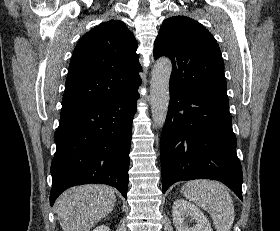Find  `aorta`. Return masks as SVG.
Segmentation results:
<instances>
[{"label": "aorta", "mask_w": 280, "mask_h": 231, "mask_svg": "<svg viewBox=\"0 0 280 231\" xmlns=\"http://www.w3.org/2000/svg\"><path fill=\"white\" fill-rule=\"evenodd\" d=\"M172 64L169 58H159L152 70L150 86L151 114L156 127H163L169 106V80Z\"/></svg>", "instance_id": "obj_1"}]
</instances>
